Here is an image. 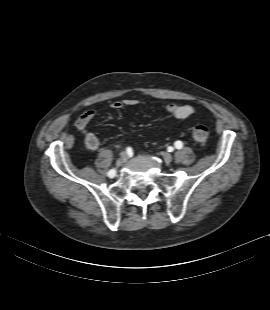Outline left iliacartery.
Instances as JSON below:
<instances>
[{
	"mask_svg": "<svg viewBox=\"0 0 270 310\" xmlns=\"http://www.w3.org/2000/svg\"><path fill=\"white\" fill-rule=\"evenodd\" d=\"M175 147H176L177 149H181V148L183 147V143H182L181 141H176V142H175Z\"/></svg>",
	"mask_w": 270,
	"mask_h": 310,
	"instance_id": "44dca946",
	"label": "left iliac artery"
}]
</instances>
